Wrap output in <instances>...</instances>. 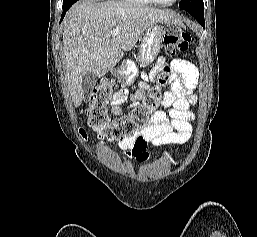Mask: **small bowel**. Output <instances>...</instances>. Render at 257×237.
I'll list each match as a JSON object with an SVG mask.
<instances>
[{
	"label": "small bowel",
	"mask_w": 257,
	"mask_h": 237,
	"mask_svg": "<svg viewBox=\"0 0 257 237\" xmlns=\"http://www.w3.org/2000/svg\"><path fill=\"white\" fill-rule=\"evenodd\" d=\"M163 62L164 58L160 57L150 77L155 76ZM173 67L175 74L170 78V91H167L162 99V106L166 111L155 112L144 129L119 143L123 154L131 160L146 162L150 157L148 145H179L186 143L191 137L190 122L195 116L189 107L197 100L193 91L199 73L195 65L187 60L176 59L173 61ZM143 79H147V76ZM146 88L144 81L138 83V88L129 96V108L136 107L140 103ZM127 98L128 90L125 88H121L115 94L111 107L114 116L122 114V106Z\"/></svg>",
	"instance_id": "c3829d8e"
}]
</instances>
